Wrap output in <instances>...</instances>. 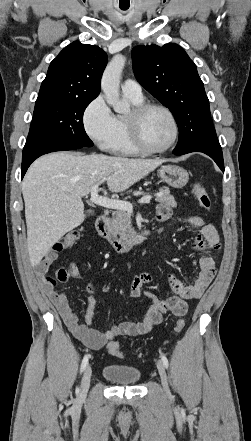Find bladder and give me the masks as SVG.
Wrapping results in <instances>:
<instances>
[{"instance_id": "bladder-1", "label": "bladder", "mask_w": 251, "mask_h": 441, "mask_svg": "<svg viewBox=\"0 0 251 441\" xmlns=\"http://www.w3.org/2000/svg\"><path fill=\"white\" fill-rule=\"evenodd\" d=\"M102 376L118 385H136L141 381V371L135 367L110 364L102 369Z\"/></svg>"}]
</instances>
